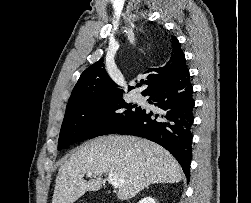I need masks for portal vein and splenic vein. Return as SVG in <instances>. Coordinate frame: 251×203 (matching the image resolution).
I'll use <instances>...</instances> for the list:
<instances>
[{"instance_id": "obj_1", "label": "portal vein and splenic vein", "mask_w": 251, "mask_h": 203, "mask_svg": "<svg viewBox=\"0 0 251 203\" xmlns=\"http://www.w3.org/2000/svg\"><path fill=\"white\" fill-rule=\"evenodd\" d=\"M93 174L92 172H88L87 176L91 177ZM108 182L114 187V188H119L123 184V180L118 177L117 174L110 172L108 174Z\"/></svg>"}]
</instances>
